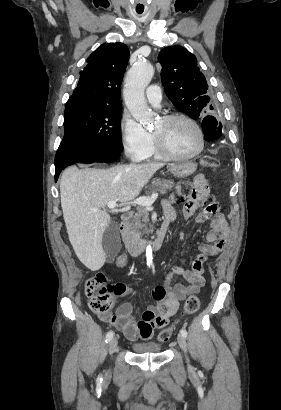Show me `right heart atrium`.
<instances>
[{"label": "right heart atrium", "mask_w": 281, "mask_h": 410, "mask_svg": "<svg viewBox=\"0 0 281 410\" xmlns=\"http://www.w3.org/2000/svg\"><path fill=\"white\" fill-rule=\"evenodd\" d=\"M121 138L125 152L135 161L143 159L152 142L151 134L127 116L121 122Z\"/></svg>", "instance_id": "d8ad5b80"}]
</instances>
